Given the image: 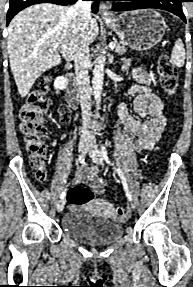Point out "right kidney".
<instances>
[{"label": "right kidney", "mask_w": 193, "mask_h": 287, "mask_svg": "<svg viewBox=\"0 0 193 287\" xmlns=\"http://www.w3.org/2000/svg\"><path fill=\"white\" fill-rule=\"evenodd\" d=\"M54 88L57 90V93L59 90H64L66 88V80L63 76H59L55 79Z\"/></svg>", "instance_id": "right-kidney-1"}]
</instances>
